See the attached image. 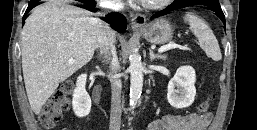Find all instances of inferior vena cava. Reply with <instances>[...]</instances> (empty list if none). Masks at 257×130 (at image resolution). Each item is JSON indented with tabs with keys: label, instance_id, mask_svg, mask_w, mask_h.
Returning <instances> with one entry per match:
<instances>
[{
	"label": "inferior vena cava",
	"instance_id": "obj_1",
	"mask_svg": "<svg viewBox=\"0 0 257 130\" xmlns=\"http://www.w3.org/2000/svg\"><path fill=\"white\" fill-rule=\"evenodd\" d=\"M123 7L121 0H111V10L118 11ZM98 47L100 52L106 50L110 62V83H111V113H110V130H120L121 124V80L118 74L119 62L115 49V33L107 25L103 24L98 38Z\"/></svg>",
	"mask_w": 257,
	"mask_h": 130
}]
</instances>
